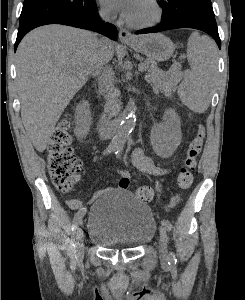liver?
<instances>
[{"label":"liver","mask_w":245,"mask_h":300,"mask_svg":"<svg viewBox=\"0 0 245 300\" xmlns=\"http://www.w3.org/2000/svg\"><path fill=\"white\" fill-rule=\"evenodd\" d=\"M95 34L63 25H46L28 33L16 52L21 118L37 151L43 152L54 127L74 95L94 71ZM114 46L106 40L104 59Z\"/></svg>","instance_id":"liver-1"}]
</instances>
